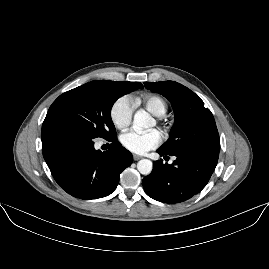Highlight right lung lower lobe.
Returning a JSON list of instances; mask_svg holds the SVG:
<instances>
[{
    "instance_id": "98d812e1",
    "label": "right lung lower lobe",
    "mask_w": 269,
    "mask_h": 269,
    "mask_svg": "<svg viewBox=\"0 0 269 269\" xmlns=\"http://www.w3.org/2000/svg\"><path fill=\"white\" fill-rule=\"evenodd\" d=\"M41 139L43 156L55 181L80 199L111 194L121 172L133 161L132 154L116 139L109 140L112 143L107 151L95 150L93 139L64 121L45 118Z\"/></svg>"
}]
</instances>
